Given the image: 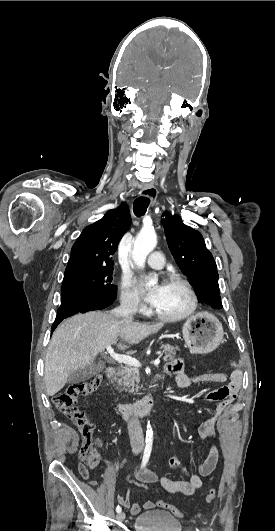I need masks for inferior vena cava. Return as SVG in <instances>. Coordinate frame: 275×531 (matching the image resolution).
<instances>
[{
    "label": "inferior vena cava",
    "mask_w": 275,
    "mask_h": 531,
    "mask_svg": "<svg viewBox=\"0 0 275 531\" xmlns=\"http://www.w3.org/2000/svg\"><path fill=\"white\" fill-rule=\"evenodd\" d=\"M111 315H114V317H125V319H131L130 311H128V307H126V305H121V307H118V309H114V311H111ZM127 429L132 449H143V429L139 419H136L135 415H132V419H129L127 423Z\"/></svg>",
    "instance_id": "obj_1"
}]
</instances>
